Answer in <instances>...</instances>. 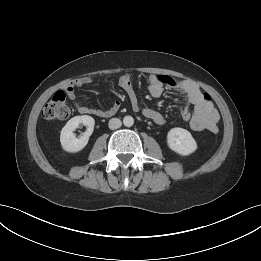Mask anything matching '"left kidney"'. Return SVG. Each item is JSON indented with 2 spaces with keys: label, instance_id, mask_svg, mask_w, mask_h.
<instances>
[{
  "label": "left kidney",
  "instance_id": "1",
  "mask_svg": "<svg viewBox=\"0 0 261 261\" xmlns=\"http://www.w3.org/2000/svg\"><path fill=\"white\" fill-rule=\"evenodd\" d=\"M168 147L174 152L187 156L197 149V143L189 131L183 128H172L167 134Z\"/></svg>",
  "mask_w": 261,
  "mask_h": 261
}]
</instances>
